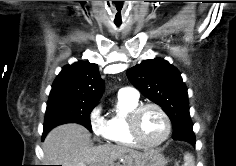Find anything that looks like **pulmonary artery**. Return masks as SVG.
Returning <instances> with one entry per match:
<instances>
[{
	"mask_svg": "<svg viewBox=\"0 0 236 166\" xmlns=\"http://www.w3.org/2000/svg\"><path fill=\"white\" fill-rule=\"evenodd\" d=\"M118 96L138 99L139 92L133 87H124L119 90Z\"/></svg>",
	"mask_w": 236,
	"mask_h": 166,
	"instance_id": "obj_1",
	"label": "pulmonary artery"
}]
</instances>
